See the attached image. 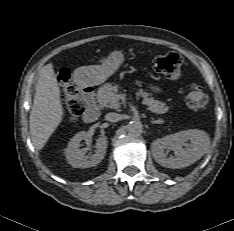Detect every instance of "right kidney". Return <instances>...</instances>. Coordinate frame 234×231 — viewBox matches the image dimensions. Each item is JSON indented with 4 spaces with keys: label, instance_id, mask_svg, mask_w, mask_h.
I'll list each match as a JSON object with an SVG mask.
<instances>
[{
    "label": "right kidney",
    "instance_id": "1",
    "mask_svg": "<svg viewBox=\"0 0 234 231\" xmlns=\"http://www.w3.org/2000/svg\"><path fill=\"white\" fill-rule=\"evenodd\" d=\"M89 139H91V135L88 132L81 131L70 140L67 148L65 149V156L72 167L89 168L97 165L104 158L107 148V138L105 136H100L97 139L95 154L90 157L86 156L88 148L80 149L81 141H88Z\"/></svg>",
    "mask_w": 234,
    "mask_h": 231
}]
</instances>
